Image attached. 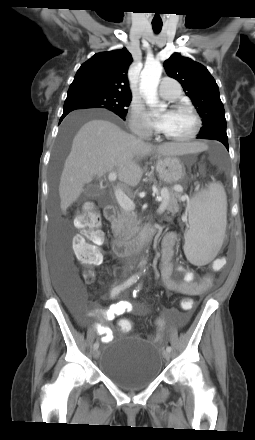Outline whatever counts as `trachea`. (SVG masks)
Listing matches in <instances>:
<instances>
[{
    "label": "trachea",
    "instance_id": "1",
    "mask_svg": "<svg viewBox=\"0 0 255 440\" xmlns=\"http://www.w3.org/2000/svg\"><path fill=\"white\" fill-rule=\"evenodd\" d=\"M152 28L155 33H159L162 29V23H152Z\"/></svg>",
    "mask_w": 255,
    "mask_h": 440
}]
</instances>
